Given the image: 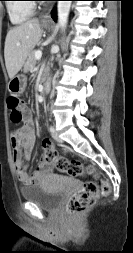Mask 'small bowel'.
<instances>
[{"label":"small bowel","instance_id":"1","mask_svg":"<svg viewBox=\"0 0 133 253\" xmlns=\"http://www.w3.org/2000/svg\"><path fill=\"white\" fill-rule=\"evenodd\" d=\"M35 138L32 114L29 110H26L23 125L16 129L11 135L16 176L18 181L23 185H31L40 182L47 174L53 171L52 164L46 162L42 157L35 172L32 175L28 174L26 162L31 157Z\"/></svg>","mask_w":133,"mask_h":253}]
</instances>
